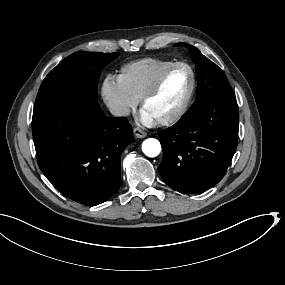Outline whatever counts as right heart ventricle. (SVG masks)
Masks as SVG:
<instances>
[{
    "label": "right heart ventricle",
    "mask_w": 285,
    "mask_h": 285,
    "mask_svg": "<svg viewBox=\"0 0 285 285\" xmlns=\"http://www.w3.org/2000/svg\"><path fill=\"white\" fill-rule=\"evenodd\" d=\"M171 67V63L156 58H144L136 61L132 65L133 75L129 86L130 92L137 99L140 98Z\"/></svg>",
    "instance_id": "e07e8e85"
}]
</instances>
